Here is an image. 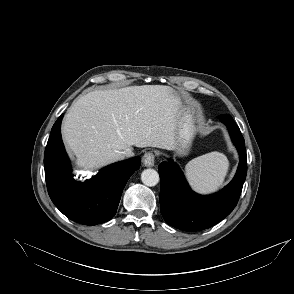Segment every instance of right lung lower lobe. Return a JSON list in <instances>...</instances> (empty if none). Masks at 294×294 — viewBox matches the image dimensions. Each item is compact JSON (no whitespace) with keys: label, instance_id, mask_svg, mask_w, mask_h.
<instances>
[{"label":"right lung lower lobe","instance_id":"obj_1","mask_svg":"<svg viewBox=\"0 0 294 294\" xmlns=\"http://www.w3.org/2000/svg\"><path fill=\"white\" fill-rule=\"evenodd\" d=\"M61 115L52 127L44 167L49 196L69 219L84 225L106 222L116 214L123 188L140 167V157L111 164L83 183L75 181L61 139Z\"/></svg>","mask_w":294,"mask_h":294}]
</instances>
